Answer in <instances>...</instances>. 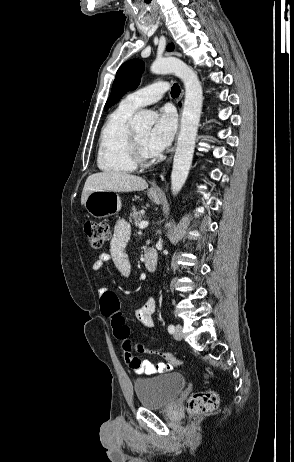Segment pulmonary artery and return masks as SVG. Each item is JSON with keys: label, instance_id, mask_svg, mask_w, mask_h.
I'll list each match as a JSON object with an SVG mask.
<instances>
[{"label": "pulmonary artery", "instance_id": "obj_1", "mask_svg": "<svg viewBox=\"0 0 294 462\" xmlns=\"http://www.w3.org/2000/svg\"><path fill=\"white\" fill-rule=\"evenodd\" d=\"M168 89L169 85L167 82L158 81L128 94L121 103L129 108L138 109L157 102Z\"/></svg>", "mask_w": 294, "mask_h": 462}]
</instances>
